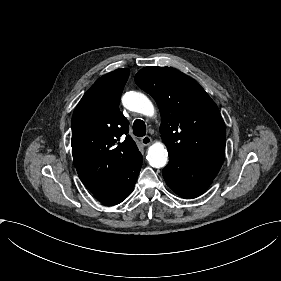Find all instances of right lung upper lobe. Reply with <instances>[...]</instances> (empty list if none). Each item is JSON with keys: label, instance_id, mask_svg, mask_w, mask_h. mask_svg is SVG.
Here are the masks:
<instances>
[{"label": "right lung upper lobe", "instance_id": "cb5924a9", "mask_svg": "<svg viewBox=\"0 0 281 281\" xmlns=\"http://www.w3.org/2000/svg\"><path fill=\"white\" fill-rule=\"evenodd\" d=\"M129 69L100 77L78 103L72 117V154L80 180L94 193L116 179L139 153L128 135L119 101ZM122 140L119 141L120 137Z\"/></svg>", "mask_w": 281, "mask_h": 281}]
</instances>
